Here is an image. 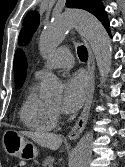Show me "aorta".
<instances>
[{
	"mask_svg": "<svg viewBox=\"0 0 125 167\" xmlns=\"http://www.w3.org/2000/svg\"><path fill=\"white\" fill-rule=\"evenodd\" d=\"M75 27L90 43L96 58L97 66L102 79L107 77L111 69L112 45L104 26L91 14L84 11H71L62 14L51 22L41 33L39 46L41 51H53L64 40L66 34ZM62 85L57 77L50 75L44 98L59 97ZM93 133H86L73 151L69 167H88L92 155Z\"/></svg>",
	"mask_w": 125,
	"mask_h": 167,
	"instance_id": "1",
	"label": "aorta"
}]
</instances>
